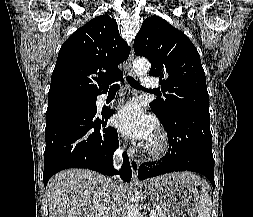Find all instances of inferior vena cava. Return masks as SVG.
<instances>
[{
  "instance_id": "602c4592",
  "label": "inferior vena cava",
  "mask_w": 253,
  "mask_h": 217,
  "mask_svg": "<svg viewBox=\"0 0 253 217\" xmlns=\"http://www.w3.org/2000/svg\"><path fill=\"white\" fill-rule=\"evenodd\" d=\"M122 161V150L119 148L114 154V162L120 163ZM120 179H115L111 185L112 194V211L108 217H118L119 209L121 207V199H123V189Z\"/></svg>"
}]
</instances>
